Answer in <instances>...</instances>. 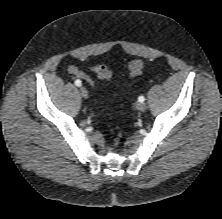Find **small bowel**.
<instances>
[{"instance_id": "1", "label": "small bowel", "mask_w": 222, "mask_h": 219, "mask_svg": "<svg viewBox=\"0 0 222 219\" xmlns=\"http://www.w3.org/2000/svg\"><path fill=\"white\" fill-rule=\"evenodd\" d=\"M91 69H92V67H91ZM69 71L73 76L80 78L82 80H85L89 83H92L91 78L86 73H84L79 67L71 66L69 68Z\"/></svg>"}]
</instances>
